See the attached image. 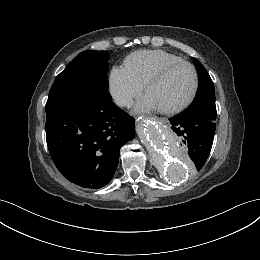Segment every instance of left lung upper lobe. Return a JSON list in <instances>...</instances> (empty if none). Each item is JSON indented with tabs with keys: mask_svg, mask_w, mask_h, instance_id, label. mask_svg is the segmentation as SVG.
Listing matches in <instances>:
<instances>
[{
	"mask_svg": "<svg viewBox=\"0 0 260 260\" xmlns=\"http://www.w3.org/2000/svg\"><path fill=\"white\" fill-rule=\"evenodd\" d=\"M193 60L197 69L199 84L194 100L184 111H190L197 108L216 109L213 81L205 67L196 58H193Z\"/></svg>",
	"mask_w": 260,
	"mask_h": 260,
	"instance_id": "left-lung-upper-lobe-1",
	"label": "left lung upper lobe"
}]
</instances>
